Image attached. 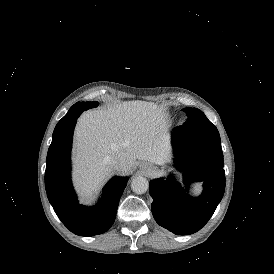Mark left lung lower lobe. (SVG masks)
I'll return each mask as SVG.
<instances>
[{
    "mask_svg": "<svg viewBox=\"0 0 274 274\" xmlns=\"http://www.w3.org/2000/svg\"><path fill=\"white\" fill-rule=\"evenodd\" d=\"M176 168L184 172L185 189L171 177L150 182L152 214L156 222L176 235L200 230L211 218L225 190L223 153L219 132L178 126L172 135ZM193 181L203 182V193L190 197Z\"/></svg>",
    "mask_w": 274,
    "mask_h": 274,
    "instance_id": "obj_1",
    "label": "left lung lower lobe"
}]
</instances>
